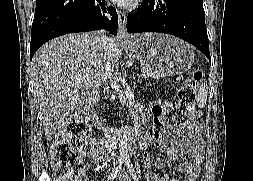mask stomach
Instances as JSON below:
<instances>
[{
  "instance_id": "0dacf381",
  "label": "stomach",
  "mask_w": 253,
  "mask_h": 181,
  "mask_svg": "<svg viewBox=\"0 0 253 181\" xmlns=\"http://www.w3.org/2000/svg\"><path fill=\"white\" fill-rule=\"evenodd\" d=\"M125 47L139 61L143 74L151 78L184 73L194 62L191 47L166 34L145 33L125 42Z\"/></svg>"
}]
</instances>
